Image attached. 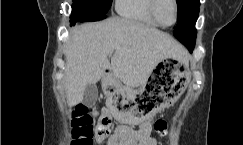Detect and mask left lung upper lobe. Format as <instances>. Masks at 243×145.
Returning <instances> with one entry per match:
<instances>
[{"label": "left lung upper lobe", "instance_id": "1", "mask_svg": "<svg viewBox=\"0 0 243 145\" xmlns=\"http://www.w3.org/2000/svg\"><path fill=\"white\" fill-rule=\"evenodd\" d=\"M178 6L177 21L186 20L190 25H195L199 15V0H176ZM186 34V30L182 25H177L174 31L175 37L178 39Z\"/></svg>", "mask_w": 243, "mask_h": 145}]
</instances>
